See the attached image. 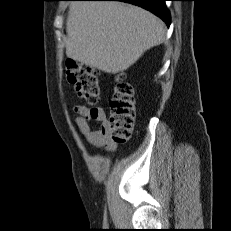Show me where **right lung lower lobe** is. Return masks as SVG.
Masks as SVG:
<instances>
[{"label":"right lung lower lobe","mask_w":231,"mask_h":231,"mask_svg":"<svg viewBox=\"0 0 231 231\" xmlns=\"http://www.w3.org/2000/svg\"><path fill=\"white\" fill-rule=\"evenodd\" d=\"M81 1H123L140 6L158 17H160L168 26L170 25V14L165 6L166 0H81Z\"/></svg>","instance_id":"1"}]
</instances>
